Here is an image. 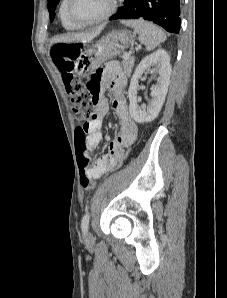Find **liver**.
Listing matches in <instances>:
<instances>
[{
  "instance_id": "liver-1",
  "label": "liver",
  "mask_w": 227,
  "mask_h": 298,
  "mask_svg": "<svg viewBox=\"0 0 227 298\" xmlns=\"http://www.w3.org/2000/svg\"><path fill=\"white\" fill-rule=\"evenodd\" d=\"M102 30H103V27L101 26L92 32L72 33V34L62 35L54 38L52 42L53 43H72V42L88 43L91 40H93L95 37H97Z\"/></svg>"
}]
</instances>
